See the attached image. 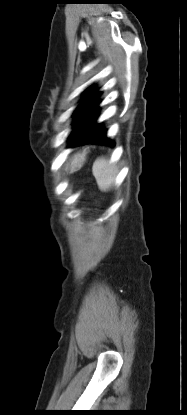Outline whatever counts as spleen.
I'll return each mask as SVG.
<instances>
[{
	"label": "spleen",
	"instance_id": "obj_1",
	"mask_svg": "<svg viewBox=\"0 0 187 415\" xmlns=\"http://www.w3.org/2000/svg\"><path fill=\"white\" fill-rule=\"evenodd\" d=\"M92 172L96 178L99 189L104 192L110 188L116 177L115 168L109 166L104 158H98L94 162Z\"/></svg>",
	"mask_w": 187,
	"mask_h": 415
}]
</instances>
